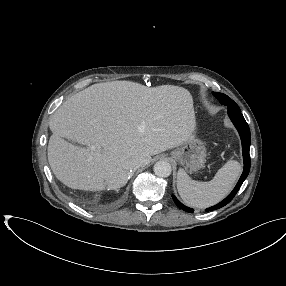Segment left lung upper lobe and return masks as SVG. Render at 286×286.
Here are the masks:
<instances>
[{
    "label": "left lung upper lobe",
    "mask_w": 286,
    "mask_h": 286,
    "mask_svg": "<svg viewBox=\"0 0 286 286\" xmlns=\"http://www.w3.org/2000/svg\"><path fill=\"white\" fill-rule=\"evenodd\" d=\"M213 95L220 101L221 104L228 107V111L241 112L238 105L223 93L213 92Z\"/></svg>",
    "instance_id": "1"
}]
</instances>
